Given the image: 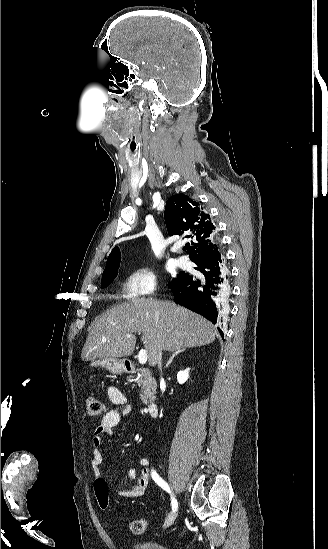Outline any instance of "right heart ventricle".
I'll return each mask as SVG.
<instances>
[{
    "instance_id": "right-heart-ventricle-1",
    "label": "right heart ventricle",
    "mask_w": 328,
    "mask_h": 549,
    "mask_svg": "<svg viewBox=\"0 0 328 549\" xmlns=\"http://www.w3.org/2000/svg\"><path fill=\"white\" fill-rule=\"evenodd\" d=\"M116 298H117V299H119V298H120V296H117Z\"/></svg>"
}]
</instances>
